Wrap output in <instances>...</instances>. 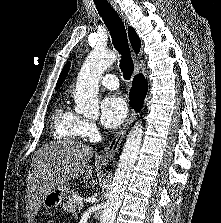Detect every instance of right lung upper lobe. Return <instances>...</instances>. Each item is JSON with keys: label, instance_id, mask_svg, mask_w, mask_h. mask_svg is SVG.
Masks as SVG:
<instances>
[{"label": "right lung upper lobe", "instance_id": "obj_1", "mask_svg": "<svg viewBox=\"0 0 221 223\" xmlns=\"http://www.w3.org/2000/svg\"><path fill=\"white\" fill-rule=\"evenodd\" d=\"M128 32H129V39H130V42H131V46H132L133 50L136 53H138L140 51V47H141L140 39H139L138 35L136 34L135 30L132 27L128 28ZM69 65H70V63L68 62L64 66V68H63V70L60 74V77L58 79L56 89H58L61 86L62 82L64 81V79H65V77L68 73V70H69Z\"/></svg>", "mask_w": 221, "mask_h": 223}]
</instances>
